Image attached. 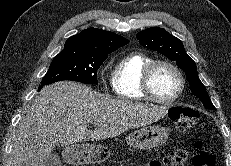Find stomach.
Segmentation results:
<instances>
[{"instance_id":"stomach-1","label":"stomach","mask_w":231,"mask_h":166,"mask_svg":"<svg viewBox=\"0 0 231 166\" xmlns=\"http://www.w3.org/2000/svg\"><path fill=\"white\" fill-rule=\"evenodd\" d=\"M169 130L160 125L142 127L127 136V144L136 150H147L160 146L168 140ZM109 150L98 144H76L63 151L64 160L76 164H96L109 157Z\"/></svg>"}]
</instances>
